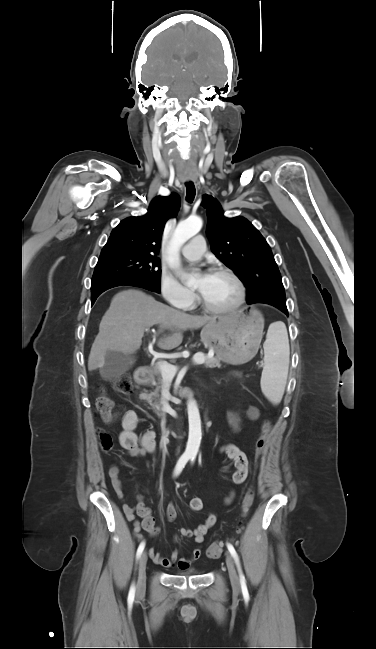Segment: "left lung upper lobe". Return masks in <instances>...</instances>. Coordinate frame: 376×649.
<instances>
[{"mask_svg": "<svg viewBox=\"0 0 376 649\" xmlns=\"http://www.w3.org/2000/svg\"><path fill=\"white\" fill-rule=\"evenodd\" d=\"M212 252L235 270L247 286V303H278L286 306L281 274L270 246L245 218H226L220 203L204 195Z\"/></svg>", "mask_w": 376, "mask_h": 649, "instance_id": "5c2ea615", "label": "left lung upper lobe"}]
</instances>
